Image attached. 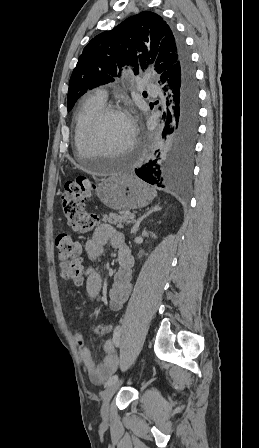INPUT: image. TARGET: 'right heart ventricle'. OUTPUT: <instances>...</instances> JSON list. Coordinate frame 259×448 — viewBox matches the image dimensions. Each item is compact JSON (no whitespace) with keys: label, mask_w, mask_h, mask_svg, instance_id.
<instances>
[{"label":"right heart ventricle","mask_w":259,"mask_h":448,"mask_svg":"<svg viewBox=\"0 0 259 448\" xmlns=\"http://www.w3.org/2000/svg\"><path fill=\"white\" fill-rule=\"evenodd\" d=\"M105 105V101L100 100L94 92L87 94L82 102V106L76 115L73 130L74 148L85 150L83 134L86 125L92 117Z\"/></svg>","instance_id":"1"}]
</instances>
